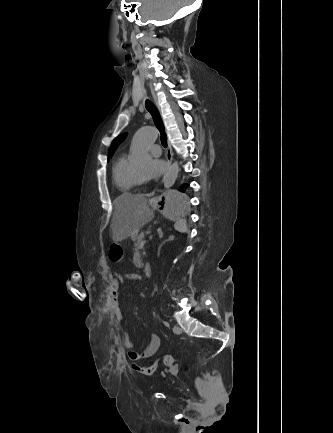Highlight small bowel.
<instances>
[{"mask_svg": "<svg viewBox=\"0 0 333 433\" xmlns=\"http://www.w3.org/2000/svg\"><path fill=\"white\" fill-rule=\"evenodd\" d=\"M124 281H140L139 276L130 274V275H122L117 272H111L110 274V285L112 290V296L114 299L115 312L116 316L119 320L122 319V311L120 308V287ZM122 345L127 350V357L132 362V366H140L138 363L146 358H150L154 356L159 347L161 345V338L157 334H153L150 338L149 343L145 347L143 351H137L134 349V343L131 340L130 336L127 333H124L122 336ZM169 372L175 374L177 372V367L170 368Z\"/></svg>", "mask_w": 333, "mask_h": 433, "instance_id": "c3829d8e", "label": "small bowel"}]
</instances>
